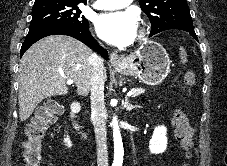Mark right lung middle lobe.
Returning a JSON list of instances; mask_svg holds the SVG:
<instances>
[{"instance_id":"1","label":"right lung middle lobe","mask_w":227,"mask_h":166,"mask_svg":"<svg viewBox=\"0 0 227 166\" xmlns=\"http://www.w3.org/2000/svg\"><path fill=\"white\" fill-rule=\"evenodd\" d=\"M73 3H42L33 6L32 21L28 33L47 27L89 28V23Z\"/></svg>"}]
</instances>
